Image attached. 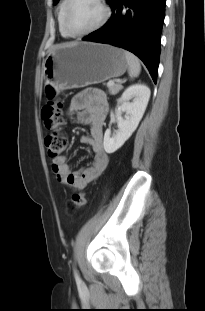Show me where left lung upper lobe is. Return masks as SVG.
<instances>
[{"instance_id":"1","label":"left lung upper lobe","mask_w":205,"mask_h":311,"mask_svg":"<svg viewBox=\"0 0 205 311\" xmlns=\"http://www.w3.org/2000/svg\"><path fill=\"white\" fill-rule=\"evenodd\" d=\"M58 1H59V0H54L55 3H57ZM107 1H108V3L112 6L114 0H107Z\"/></svg>"}]
</instances>
